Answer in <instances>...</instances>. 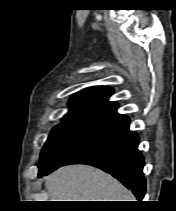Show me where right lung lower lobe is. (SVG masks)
Listing matches in <instances>:
<instances>
[{"mask_svg":"<svg viewBox=\"0 0 176 211\" xmlns=\"http://www.w3.org/2000/svg\"><path fill=\"white\" fill-rule=\"evenodd\" d=\"M129 122V117L121 115L96 125L51 164L39 169L38 177L63 165L88 164L117 178L132 190L138 201H142L146 189L145 162L138 150L139 137L130 131Z\"/></svg>","mask_w":176,"mask_h":211,"instance_id":"98d812e1","label":"right lung lower lobe"}]
</instances>
